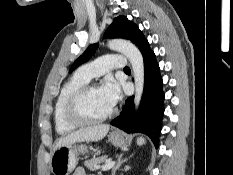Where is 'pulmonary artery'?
Segmentation results:
<instances>
[{
	"mask_svg": "<svg viewBox=\"0 0 233 175\" xmlns=\"http://www.w3.org/2000/svg\"><path fill=\"white\" fill-rule=\"evenodd\" d=\"M126 66L127 58L124 55L107 54L82 65L76 71V75L90 81L92 78L101 76L112 69H124Z\"/></svg>",
	"mask_w": 233,
	"mask_h": 175,
	"instance_id": "obj_1",
	"label": "pulmonary artery"
}]
</instances>
